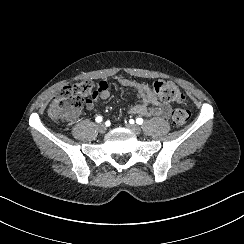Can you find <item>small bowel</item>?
Segmentation results:
<instances>
[{
	"label": "small bowel",
	"mask_w": 244,
	"mask_h": 244,
	"mask_svg": "<svg viewBox=\"0 0 244 244\" xmlns=\"http://www.w3.org/2000/svg\"><path fill=\"white\" fill-rule=\"evenodd\" d=\"M119 83L124 86L132 87L140 101L139 104L130 105L128 107V111L130 113L145 117L157 116L163 118H168L171 115V106L159 99V97L147 84L136 82L125 77H120ZM110 96V85L105 81L100 82L97 87V98L99 100L105 101L108 100ZM95 106V102L91 100L87 102L85 109L87 111H93Z\"/></svg>",
	"instance_id": "1"
}]
</instances>
